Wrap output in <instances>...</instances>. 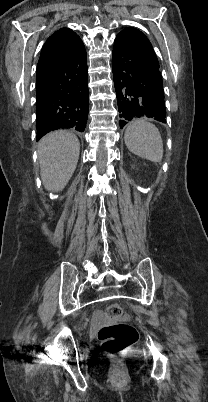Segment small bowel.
<instances>
[{
	"label": "small bowel",
	"mask_w": 208,
	"mask_h": 402,
	"mask_svg": "<svg viewBox=\"0 0 208 402\" xmlns=\"http://www.w3.org/2000/svg\"><path fill=\"white\" fill-rule=\"evenodd\" d=\"M92 321L94 324H102L105 321V318L102 315H100V312H94Z\"/></svg>",
	"instance_id": "c3829d8e"
}]
</instances>
